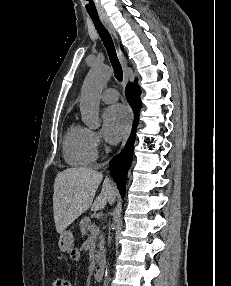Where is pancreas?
<instances>
[{"instance_id":"obj_1","label":"pancreas","mask_w":231,"mask_h":286,"mask_svg":"<svg viewBox=\"0 0 231 286\" xmlns=\"http://www.w3.org/2000/svg\"><path fill=\"white\" fill-rule=\"evenodd\" d=\"M94 224L91 223V220L89 217H84L81 221H80V224H79V227H80V232L82 235H87L88 231L91 232V227L93 226ZM92 234V233H91ZM100 234V231L99 229L96 227V231L95 233L92 235V237L94 239H96V236ZM103 245H104V239H103V235L100 236V242L98 244V247L100 249V251H98L96 253V261H98L103 253Z\"/></svg>"}]
</instances>
